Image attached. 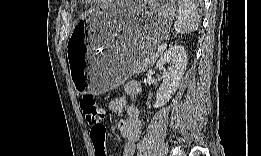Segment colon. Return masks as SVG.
Masks as SVG:
<instances>
[{"label":"colon","mask_w":261,"mask_h":156,"mask_svg":"<svg viewBox=\"0 0 261 156\" xmlns=\"http://www.w3.org/2000/svg\"><path fill=\"white\" fill-rule=\"evenodd\" d=\"M80 107L84 114L86 124L91 128V140L96 155L101 156L104 154V143L106 139V129L101 123L103 109L91 95H86L80 100Z\"/></svg>","instance_id":"colon-1"}]
</instances>
